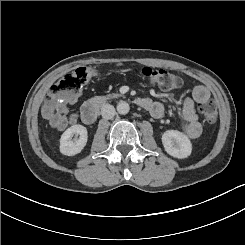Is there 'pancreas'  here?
Masks as SVG:
<instances>
[{
  "mask_svg": "<svg viewBox=\"0 0 245 245\" xmlns=\"http://www.w3.org/2000/svg\"><path fill=\"white\" fill-rule=\"evenodd\" d=\"M118 97H120V94L113 93V94L107 95V98H118Z\"/></svg>",
  "mask_w": 245,
  "mask_h": 245,
  "instance_id": "pancreas-1",
  "label": "pancreas"
}]
</instances>
